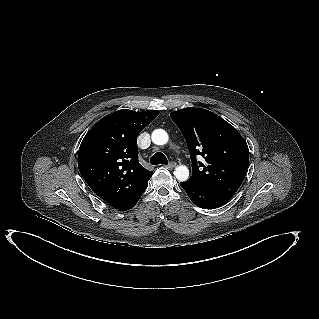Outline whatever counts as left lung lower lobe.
I'll list each match as a JSON object with an SVG mask.
<instances>
[{
    "label": "left lung lower lobe",
    "instance_id": "obj_1",
    "mask_svg": "<svg viewBox=\"0 0 319 319\" xmlns=\"http://www.w3.org/2000/svg\"><path fill=\"white\" fill-rule=\"evenodd\" d=\"M182 188L186 191L191 201L203 209H214L225 205L231 197L201 187L190 181L182 182Z\"/></svg>",
    "mask_w": 319,
    "mask_h": 319
}]
</instances>
